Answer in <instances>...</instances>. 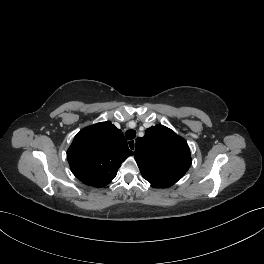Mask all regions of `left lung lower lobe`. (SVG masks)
I'll return each instance as SVG.
<instances>
[{"label": "left lung lower lobe", "mask_w": 264, "mask_h": 264, "mask_svg": "<svg viewBox=\"0 0 264 264\" xmlns=\"http://www.w3.org/2000/svg\"><path fill=\"white\" fill-rule=\"evenodd\" d=\"M146 180L149 181L153 187H157V188L169 187L174 184L170 179L167 178L157 177V178H147Z\"/></svg>", "instance_id": "left-lung-lower-lobe-1"}]
</instances>
